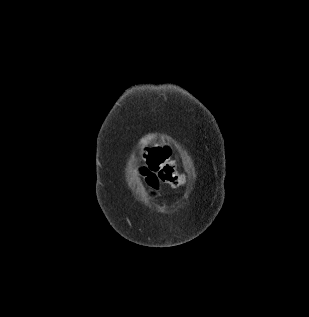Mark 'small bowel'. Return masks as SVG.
I'll return each instance as SVG.
<instances>
[{
	"label": "small bowel",
	"mask_w": 309,
	"mask_h": 317,
	"mask_svg": "<svg viewBox=\"0 0 309 317\" xmlns=\"http://www.w3.org/2000/svg\"><path fill=\"white\" fill-rule=\"evenodd\" d=\"M141 173L143 174V176H148V177H147V180H148V182H149V184H150L151 186L156 187L157 182H151V181L149 180V177H150L151 174H152L151 171L149 170V168L144 167V168L141 170Z\"/></svg>",
	"instance_id": "obj_1"
}]
</instances>
